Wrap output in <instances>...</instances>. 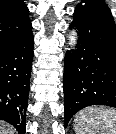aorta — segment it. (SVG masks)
<instances>
[{
	"label": "aorta",
	"instance_id": "aorta-1",
	"mask_svg": "<svg viewBox=\"0 0 116 134\" xmlns=\"http://www.w3.org/2000/svg\"><path fill=\"white\" fill-rule=\"evenodd\" d=\"M75 43H76V38H75L74 34H72V35L70 36V38H69V44H70L71 46H74Z\"/></svg>",
	"mask_w": 116,
	"mask_h": 134
}]
</instances>
